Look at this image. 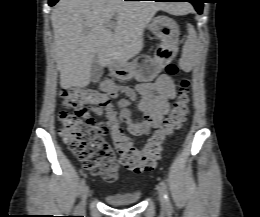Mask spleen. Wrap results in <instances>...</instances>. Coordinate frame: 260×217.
<instances>
[{"label":"spleen","mask_w":260,"mask_h":217,"mask_svg":"<svg viewBox=\"0 0 260 217\" xmlns=\"http://www.w3.org/2000/svg\"><path fill=\"white\" fill-rule=\"evenodd\" d=\"M188 28V37L183 46V56L189 57L194 53L196 45H197V33L194 27L191 24H187Z\"/></svg>","instance_id":"spleen-1"}]
</instances>
